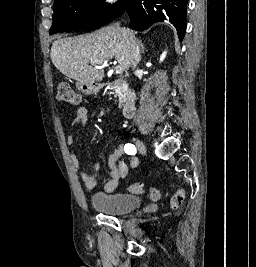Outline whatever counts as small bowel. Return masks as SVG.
I'll return each mask as SVG.
<instances>
[{"mask_svg": "<svg viewBox=\"0 0 256 267\" xmlns=\"http://www.w3.org/2000/svg\"><path fill=\"white\" fill-rule=\"evenodd\" d=\"M88 121V110L85 107H80L77 109L72 121L71 128L76 129L84 126ZM75 142V137L69 135L67 137V143L73 145ZM124 148L122 145L116 146L108 158L109 164V178L102 183V188L107 193H113L119 184V181L126 178L129 169H135L139 165V160L136 156L130 155L127 157V161L123 159ZM72 165L77 172L79 178L87 189L95 190L100 188L98 182L99 177V163H93L90 169H84L77 156L71 154Z\"/></svg>", "mask_w": 256, "mask_h": 267, "instance_id": "obj_1", "label": "small bowel"}]
</instances>
